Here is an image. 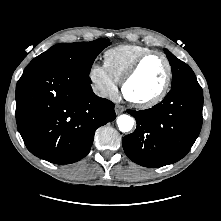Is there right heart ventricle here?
I'll return each instance as SVG.
<instances>
[{
	"mask_svg": "<svg viewBox=\"0 0 221 221\" xmlns=\"http://www.w3.org/2000/svg\"><path fill=\"white\" fill-rule=\"evenodd\" d=\"M148 47L138 44H122L105 51L103 65L116 82H121L127 70Z\"/></svg>",
	"mask_w": 221,
	"mask_h": 221,
	"instance_id": "1",
	"label": "right heart ventricle"
}]
</instances>
